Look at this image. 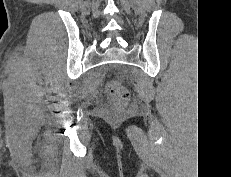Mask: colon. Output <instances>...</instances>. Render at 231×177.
Returning a JSON list of instances; mask_svg holds the SVG:
<instances>
[{"label": "colon", "mask_w": 231, "mask_h": 177, "mask_svg": "<svg viewBox=\"0 0 231 177\" xmlns=\"http://www.w3.org/2000/svg\"><path fill=\"white\" fill-rule=\"evenodd\" d=\"M107 92L117 103H123L129 98L128 89L116 80L108 84Z\"/></svg>", "instance_id": "obj_1"}]
</instances>
